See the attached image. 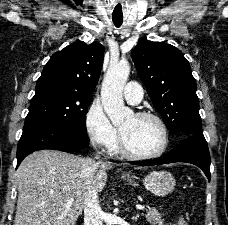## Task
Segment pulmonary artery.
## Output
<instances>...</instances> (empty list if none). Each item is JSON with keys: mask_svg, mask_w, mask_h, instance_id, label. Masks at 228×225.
I'll return each mask as SVG.
<instances>
[{"mask_svg": "<svg viewBox=\"0 0 228 225\" xmlns=\"http://www.w3.org/2000/svg\"><path fill=\"white\" fill-rule=\"evenodd\" d=\"M142 85H137V81H128V85H125L124 98L125 100L136 105L142 100Z\"/></svg>", "mask_w": 228, "mask_h": 225, "instance_id": "e3ab8cb5", "label": "pulmonary artery"}]
</instances>
